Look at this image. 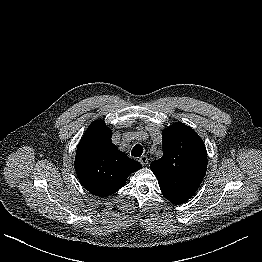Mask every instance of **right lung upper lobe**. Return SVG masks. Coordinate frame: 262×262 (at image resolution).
Wrapping results in <instances>:
<instances>
[{"instance_id":"right-lung-upper-lobe-1","label":"right lung upper lobe","mask_w":262,"mask_h":262,"mask_svg":"<svg viewBox=\"0 0 262 262\" xmlns=\"http://www.w3.org/2000/svg\"><path fill=\"white\" fill-rule=\"evenodd\" d=\"M111 136L103 121H93L76 151L77 177L87 191L99 197L114 194L126 184L129 174L141 168L138 161L117 149Z\"/></svg>"}]
</instances>
